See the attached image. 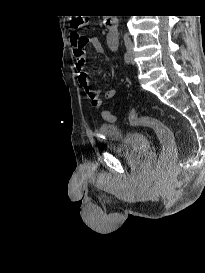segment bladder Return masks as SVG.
<instances>
[{"instance_id": "bladder-1", "label": "bladder", "mask_w": 205, "mask_h": 273, "mask_svg": "<svg viewBox=\"0 0 205 273\" xmlns=\"http://www.w3.org/2000/svg\"><path fill=\"white\" fill-rule=\"evenodd\" d=\"M98 133L111 152L131 161L143 159L150 148L149 137L140 131L123 132L117 125L103 124Z\"/></svg>"}]
</instances>
